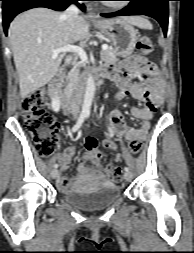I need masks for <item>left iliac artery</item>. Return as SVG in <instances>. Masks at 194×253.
<instances>
[{"instance_id":"obj_1","label":"left iliac artery","mask_w":194,"mask_h":253,"mask_svg":"<svg viewBox=\"0 0 194 253\" xmlns=\"http://www.w3.org/2000/svg\"><path fill=\"white\" fill-rule=\"evenodd\" d=\"M87 117H89V113H88V116H87ZM124 169H125V171H129V168H128V167H125Z\"/></svg>"}]
</instances>
